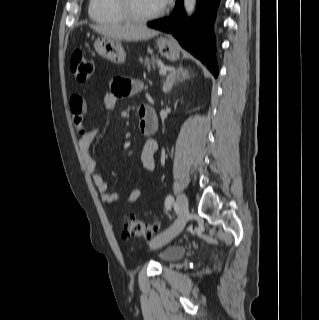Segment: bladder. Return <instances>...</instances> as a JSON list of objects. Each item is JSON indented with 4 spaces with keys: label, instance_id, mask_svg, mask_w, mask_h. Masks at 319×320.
<instances>
[{
    "label": "bladder",
    "instance_id": "bladder-1",
    "mask_svg": "<svg viewBox=\"0 0 319 320\" xmlns=\"http://www.w3.org/2000/svg\"><path fill=\"white\" fill-rule=\"evenodd\" d=\"M149 249H146V253ZM185 253V248L182 246H166L161 248L156 257L161 263H171L180 259Z\"/></svg>",
    "mask_w": 319,
    "mask_h": 320
}]
</instances>
